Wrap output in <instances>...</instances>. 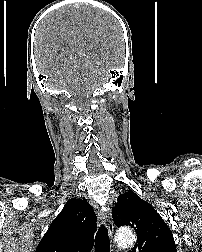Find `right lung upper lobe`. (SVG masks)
Returning <instances> with one entry per match:
<instances>
[{
  "mask_svg": "<svg viewBox=\"0 0 202 252\" xmlns=\"http://www.w3.org/2000/svg\"><path fill=\"white\" fill-rule=\"evenodd\" d=\"M97 217L84 199H70L53 220L35 252H89Z\"/></svg>",
  "mask_w": 202,
  "mask_h": 252,
  "instance_id": "right-lung-upper-lobe-1",
  "label": "right lung upper lobe"
}]
</instances>
